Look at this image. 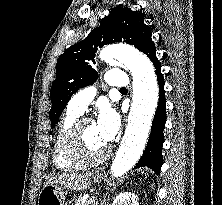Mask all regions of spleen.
Instances as JSON below:
<instances>
[{
  "label": "spleen",
  "mask_w": 222,
  "mask_h": 205,
  "mask_svg": "<svg viewBox=\"0 0 222 205\" xmlns=\"http://www.w3.org/2000/svg\"><path fill=\"white\" fill-rule=\"evenodd\" d=\"M141 172H142V174H144V172H145V174L148 175V172H149V171H148L147 169H144V168H143V169L141 170Z\"/></svg>",
  "instance_id": "spleen-1"
}]
</instances>
